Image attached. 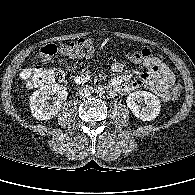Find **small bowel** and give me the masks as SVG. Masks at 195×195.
Masks as SVG:
<instances>
[{"label": "small bowel", "mask_w": 195, "mask_h": 195, "mask_svg": "<svg viewBox=\"0 0 195 195\" xmlns=\"http://www.w3.org/2000/svg\"><path fill=\"white\" fill-rule=\"evenodd\" d=\"M145 68L136 80H129V74L114 77L109 82L110 93L113 96L127 94L135 89L145 86L152 90L162 101L170 99L169 89L174 83V74L168 66L159 58L153 57L150 66L142 65ZM114 73L124 71V65L121 62H115L111 66ZM92 75V70L84 69L80 73L74 75L75 83H84Z\"/></svg>", "instance_id": "c3829d8e"}]
</instances>
